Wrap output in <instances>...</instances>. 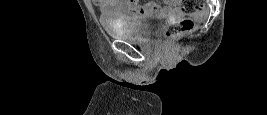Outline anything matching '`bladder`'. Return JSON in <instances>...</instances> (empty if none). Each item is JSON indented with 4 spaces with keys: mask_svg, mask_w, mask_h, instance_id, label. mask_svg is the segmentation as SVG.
Masks as SVG:
<instances>
[{
    "mask_svg": "<svg viewBox=\"0 0 267 115\" xmlns=\"http://www.w3.org/2000/svg\"><path fill=\"white\" fill-rule=\"evenodd\" d=\"M164 21V15L149 13L141 15L136 22L108 25L106 29L108 34L114 38L143 42L152 38Z\"/></svg>",
    "mask_w": 267,
    "mask_h": 115,
    "instance_id": "1",
    "label": "bladder"
}]
</instances>
